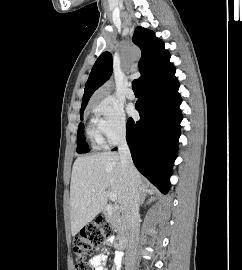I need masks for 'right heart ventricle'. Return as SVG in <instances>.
<instances>
[{
  "mask_svg": "<svg viewBox=\"0 0 242 270\" xmlns=\"http://www.w3.org/2000/svg\"><path fill=\"white\" fill-rule=\"evenodd\" d=\"M87 134L94 147H100L103 144V139L95 120H92L88 126Z\"/></svg>",
  "mask_w": 242,
  "mask_h": 270,
  "instance_id": "obj_1",
  "label": "right heart ventricle"
}]
</instances>
